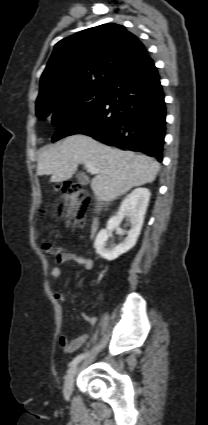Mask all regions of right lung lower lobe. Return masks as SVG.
<instances>
[{
  "label": "right lung lower lobe",
  "mask_w": 208,
  "mask_h": 425,
  "mask_svg": "<svg viewBox=\"0 0 208 425\" xmlns=\"http://www.w3.org/2000/svg\"><path fill=\"white\" fill-rule=\"evenodd\" d=\"M165 116L160 77L147 54L106 87L98 105L61 121L52 141L84 134L109 146L146 153L161 162Z\"/></svg>",
  "instance_id": "right-lung-lower-lobe-1"
}]
</instances>
